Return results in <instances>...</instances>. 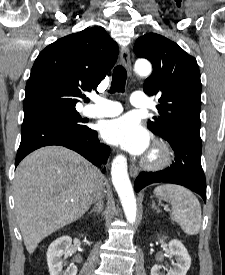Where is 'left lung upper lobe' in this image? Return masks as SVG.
Here are the masks:
<instances>
[{
    "label": "left lung upper lobe",
    "mask_w": 225,
    "mask_h": 275,
    "mask_svg": "<svg viewBox=\"0 0 225 275\" xmlns=\"http://www.w3.org/2000/svg\"><path fill=\"white\" fill-rule=\"evenodd\" d=\"M134 52L153 64L144 92L157 95L160 102V115L148 120V129L165 140L200 138L201 80L196 59L155 33L139 37Z\"/></svg>",
    "instance_id": "5c2ea615"
}]
</instances>
